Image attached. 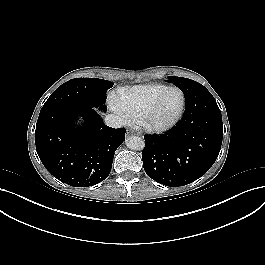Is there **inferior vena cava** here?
Segmentation results:
<instances>
[{
	"mask_svg": "<svg viewBox=\"0 0 265 265\" xmlns=\"http://www.w3.org/2000/svg\"><path fill=\"white\" fill-rule=\"evenodd\" d=\"M105 123L112 128H120L125 126V120L118 115L108 114L105 117Z\"/></svg>",
	"mask_w": 265,
	"mask_h": 265,
	"instance_id": "602c4592",
	"label": "inferior vena cava"
}]
</instances>
